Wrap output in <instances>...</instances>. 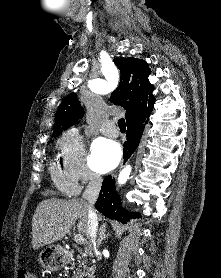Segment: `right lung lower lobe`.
Instances as JSON below:
<instances>
[{
	"label": "right lung lower lobe",
	"instance_id": "1",
	"mask_svg": "<svg viewBox=\"0 0 221 278\" xmlns=\"http://www.w3.org/2000/svg\"><path fill=\"white\" fill-rule=\"evenodd\" d=\"M149 118L135 120L127 124V141L124 143L123 157L127 160L138 147L145 125ZM120 198L116 193L115 181L111 176L104 179L100 195L96 202V209L110 219L127 223L130 218L140 217L139 213H128L120 205Z\"/></svg>",
	"mask_w": 221,
	"mask_h": 278
}]
</instances>
